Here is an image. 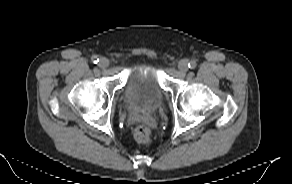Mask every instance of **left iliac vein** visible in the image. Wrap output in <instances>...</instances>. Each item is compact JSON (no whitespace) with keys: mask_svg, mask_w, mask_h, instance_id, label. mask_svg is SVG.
Here are the masks:
<instances>
[{"mask_svg":"<svg viewBox=\"0 0 292 184\" xmlns=\"http://www.w3.org/2000/svg\"><path fill=\"white\" fill-rule=\"evenodd\" d=\"M178 69L180 72L185 73L188 70V61L186 59H182L178 63Z\"/></svg>","mask_w":292,"mask_h":184,"instance_id":"left-iliac-vein-1","label":"left iliac vein"}]
</instances>
